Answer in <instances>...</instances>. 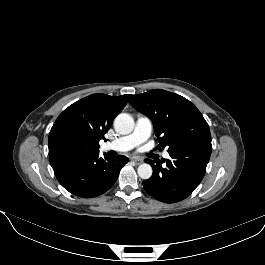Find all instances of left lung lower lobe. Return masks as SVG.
<instances>
[{
  "mask_svg": "<svg viewBox=\"0 0 265 265\" xmlns=\"http://www.w3.org/2000/svg\"><path fill=\"white\" fill-rule=\"evenodd\" d=\"M211 151V140H202L169 152L170 159L158 162L146 159L153 168V175L143 181L144 189L165 203L187 198L202 181Z\"/></svg>",
  "mask_w": 265,
  "mask_h": 265,
  "instance_id": "1",
  "label": "left lung lower lobe"
}]
</instances>
